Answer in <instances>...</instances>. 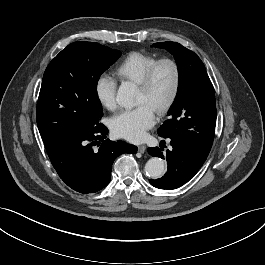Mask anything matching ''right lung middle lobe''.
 Here are the masks:
<instances>
[{
    "instance_id": "obj_1",
    "label": "right lung middle lobe",
    "mask_w": 265,
    "mask_h": 265,
    "mask_svg": "<svg viewBox=\"0 0 265 265\" xmlns=\"http://www.w3.org/2000/svg\"><path fill=\"white\" fill-rule=\"evenodd\" d=\"M121 55L94 42H74L48 65L37 103L44 144L91 130L103 116L97 83Z\"/></svg>"
}]
</instances>
